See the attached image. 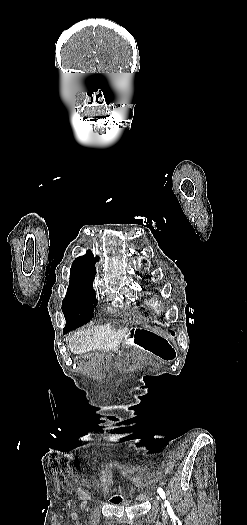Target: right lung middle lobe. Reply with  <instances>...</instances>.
Returning <instances> with one entry per match:
<instances>
[{
    "mask_svg": "<svg viewBox=\"0 0 247 525\" xmlns=\"http://www.w3.org/2000/svg\"><path fill=\"white\" fill-rule=\"evenodd\" d=\"M94 275L70 273V283L66 297L62 301V311L66 319L65 328L75 329L86 324L94 316L97 304L92 288Z\"/></svg>",
    "mask_w": 247,
    "mask_h": 525,
    "instance_id": "obj_1",
    "label": "right lung middle lobe"
}]
</instances>
